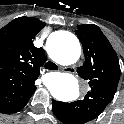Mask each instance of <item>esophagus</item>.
I'll return each instance as SVG.
<instances>
[{
    "mask_svg": "<svg viewBox=\"0 0 124 124\" xmlns=\"http://www.w3.org/2000/svg\"><path fill=\"white\" fill-rule=\"evenodd\" d=\"M61 70L63 72L74 73L75 72V67H73V66H71V67H62Z\"/></svg>",
    "mask_w": 124,
    "mask_h": 124,
    "instance_id": "obj_1",
    "label": "esophagus"
}]
</instances>
